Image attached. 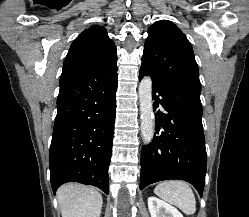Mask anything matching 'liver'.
Instances as JSON below:
<instances>
[{
    "label": "liver",
    "mask_w": 249,
    "mask_h": 217,
    "mask_svg": "<svg viewBox=\"0 0 249 217\" xmlns=\"http://www.w3.org/2000/svg\"><path fill=\"white\" fill-rule=\"evenodd\" d=\"M57 199L62 217H100L103 199L93 187L64 184L57 191Z\"/></svg>",
    "instance_id": "obj_1"
}]
</instances>
